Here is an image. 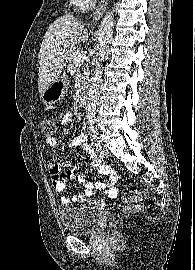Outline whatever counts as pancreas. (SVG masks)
Returning <instances> with one entry per match:
<instances>
[{
    "label": "pancreas",
    "instance_id": "pancreas-1",
    "mask_svg": "<svg viewBox=\"0 0 195 270\" xmlns=\"http://www.w3.org/2000/svg\"><path fill=\"white\" fill-rule=\"evenodd\" d=\"M74 53H72L68 59V65H67V70L71 74L76 73L77 71L81 70L83 68V74H84V81H86L89 78V72H88V67L86 64H84L83 61H76L74 59Z\"/></svg>",
    "mask_w": 195,
    "mask_h": 270
}]
</instances>
